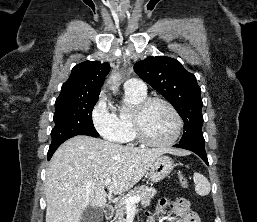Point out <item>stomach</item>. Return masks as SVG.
<instances>
[{"mask_svg":"<svg viewBox=\"0 0 257 222\" xmlns=\"http://www.w3.org/2000/svg\"><path fill=\"white\" fill-rule=\"evenodd\" d=\"M174 168L173 160L168 156H159L150 166L148 176L152 183L163 180Z\"/></svg>","mask_w":257,"mask_h":222,"instance_id":"0dacf381","label":"stomach"}]
</instances>
